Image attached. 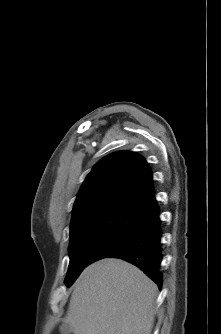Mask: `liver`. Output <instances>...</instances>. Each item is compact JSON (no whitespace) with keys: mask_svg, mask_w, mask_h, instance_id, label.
I'll list each match as a JSON object with an SVG mask.
<instances>
[{"mask_svg":"<svg viewBox=\"0 0 221 334\" xmlns=\"http://www.w3.org/2000/svg\"><path fill=\"white\" fill-rule=\"evenodd\" d=\"M157 286L134 265L97 261L76 280L64 322L74 334H151Z\"/></svg>","mask_w":221,"mask_h":334,"instance_id":"obj_1","label":"liver"}]
</instances>
